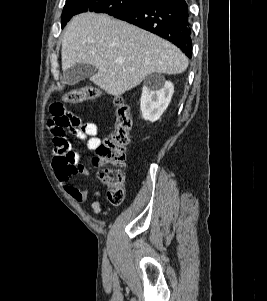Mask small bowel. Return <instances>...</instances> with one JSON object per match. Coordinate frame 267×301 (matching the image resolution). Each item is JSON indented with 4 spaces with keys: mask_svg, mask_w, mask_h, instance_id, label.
<instances>
[{
    "mask_svg": "<svg viewBox=\"0 0 267 301\" xmlns=\"http://www.w3.org/2000/svg\"><path fill=\"white\" fill-rule=\"evenodd\" d=\"M49 110L51 119L48 121L47 127L54 144L52 166L56 177L67 194L75 201L85 202L89 198H93L91 212L94 215L100 214L102 212L100 193L79 189L71 184L73 176L90 175V170L82 164V153L73 148V144L67 137V132H70L78 139L83 140L89 150H95L101 144L98 137V126L94 122H82L61 102H53Z\"/></svg>",
    "mask_w": 267,
    "mask_h": 301,
    "instance_id": "small-bowel-1",
    "label": "small bowel"
}]
</instances>
